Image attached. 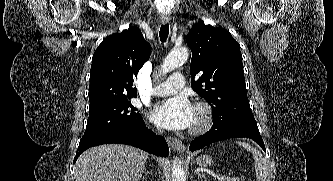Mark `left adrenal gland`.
Wrapping results in <instances>:
<instances>
[{
    "instance_id": "obj_1",
    "label": "left adrenal gland",
    "mask_w": 333,
    "mask_h": 181,
    "mask_svg": "<svg viewBox=\"0 0 333 181\" xmlns=\"http://www.w3.org/2000/svg\"><path fill=\"white\" fill-rule=\"evenodd\" d=\"M197 179L204 178L206 180L205 174H201V172H197Z\"/></svg>"
}]
</instances>
